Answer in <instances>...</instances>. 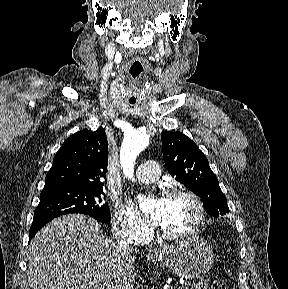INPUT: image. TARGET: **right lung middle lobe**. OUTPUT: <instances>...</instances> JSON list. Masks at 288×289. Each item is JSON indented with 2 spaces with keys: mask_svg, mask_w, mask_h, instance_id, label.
I'll return each mask as SVG.
<instances>
[{
  "mask_svg": "<svg viewBox=\"0 0 288 289\" xmlns=\"http://www.w3.org/2000/svg\"><path fill=\"white\" fill-rule=\"evenodd\" d=\"M103 187L43 189L34 219L54 218L68 213L89 215L106 223L110 221L109 206L102 201Z\"/></svg>",
  "mask_w": 288,
  "mask_h": 289,
  "instance_id": "right-lung-middle-lobe-1",
  "label": "right lung middle lobe"
}]
</instances>
